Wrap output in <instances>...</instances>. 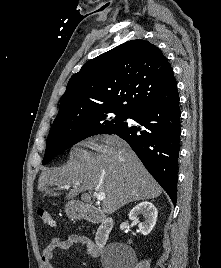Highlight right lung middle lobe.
I'll return each instance as SVG.
<instances>
[{
    "label": "right lung middle lobe",
    "instance_id": "1",
    "mask_svg": "<svg viewBox=\"0 0 221 268\" xmlns=\"http://www.w3.org/2000/svg\"><path fill=\"white\" fill-rule=\"evenodd\" d=\"M127 118L130 117L117 111H99L71 117H57L47 138L43 164L89 136L108 133L123 126L126 124Z\"/></svg>",
    "mask_w": 221,
    "mask_h": 268
}]
</instances>
